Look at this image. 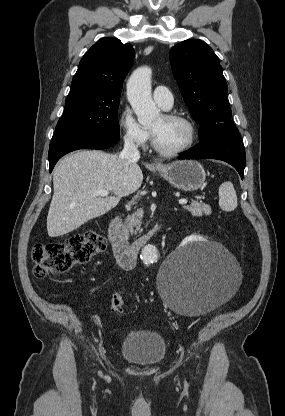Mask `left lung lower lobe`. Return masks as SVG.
I'll list each match as a JSON object with an SVG mask.
<instances>
[{
	"label": "left lung lower lobe",
	"instance_id": "obj_1",
	"mask_svg": "<svg viewBox=\"0 0 285 416\" xmlns=\"http://www.w3.org/2000/svg\"><path fill=\"white\" fill-rule=\"evenodd\" d=\"M211 158L231 164L243 179L245 148L238 131L211 136L182 153L178 159Z\"/></svg>",
	"mask_w": 285,
	"mask_h": 416
}]
</instances>
